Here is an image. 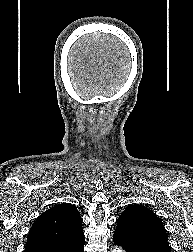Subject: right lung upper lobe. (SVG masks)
Masks as SVG:
<instances>
[{"label":"right lung upper lobe","mask_w":193,"mask_h":252,"mask_svg":"<svg viewBox=\"0 0 193 252\" xmlns=\"http://www.w3.org/2000/svg\"><path fill=\"white\" fill-rule=\"evenodd\" d=\"M84 236L82 219L71 204L54 205L33 223L24 252L57 250Z\"/></svg>","instance_id":"1"}]
</instances>
